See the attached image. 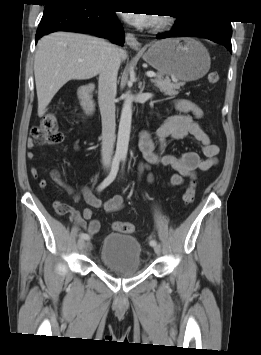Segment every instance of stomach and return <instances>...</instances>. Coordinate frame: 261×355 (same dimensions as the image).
Segmentation results:
<instances>
[{"label":"stomach","instance_id":"0dacf381","mask_svg":"<svg viewBox=\"0 0 261 355\" xmlns=\"http://www.w3.org/2000/svg\"><path fill=\"white\" fill-rule=\"evenodd\" d=\"M143 59L161 75L183 82L202 78L210 69V55L199 41L189 38H170L147 46Z\"/></svg>","mask_w":261,"mask_h":355}]
</instances>
